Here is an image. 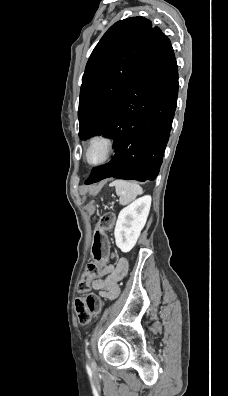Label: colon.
<instances>
[{
	"mask_svg": "<svg viewBox=\"0 0 228 396\" xmlns=\"http://www.w3.org/2000/svg\"><path fill=\"white\" fill-rule=\"evenodd\" d=\"M114 224V214L107 213L99 218L95 226L92 245L94 262L87 266L77 285L78 293L80 295H84L75 300V310L81 324H88L91 317L99 314L102 309V301L100 298L96 295L87 293L90 289L92 280L100 273V266L102 265L106 254V233L113 228Z\"/></svg>",
	"mask_w": 228,
	"mask_h": 396,
	"instance_id": "5ec220e1",
	"label": "colon"
}]
</instances>
